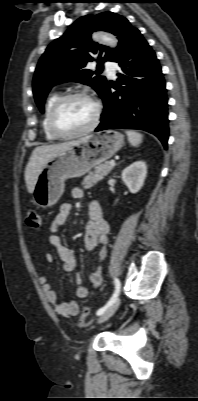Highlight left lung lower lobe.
Segmentation results:
<instances>
[{"mask_svg": "<svg viewBox=\"0 0 198 401\" xmlns=\"http://www.w3.org/2000/svg\"><path fill=\"white\" fill-rule=\"evenodd\" d=\"M114 62L116 85L106 83L101 123L95 131L115 128L141 129L157 136L167 149L168 113L165 81L155 52L135 29ZM113 86L116 91L111 92Z\"/></svg>", "mask_w": 198, "mask_h": 401, "instance_id": "1", "label": "left lung lower lobe"}]
</instances>
